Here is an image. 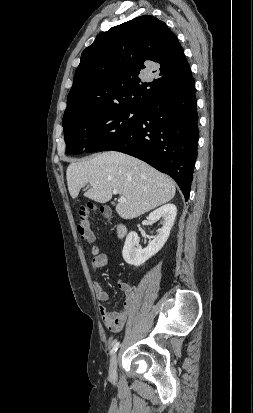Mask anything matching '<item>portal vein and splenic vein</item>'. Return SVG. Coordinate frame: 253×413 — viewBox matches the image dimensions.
Instances as JSON below:
<instances>
[{"instance_id":"portal-vein-and-splenic-vein-1","label":"portal vein and splenic vein","mask_w":253,"mask_h":413,"mask_svg":"<svg viewBox=\"0 0 253 413\" xmlns=\"http://www.w3.org/2000/svg\"><path fill=\"white\" fill-rule=\"evenodd\" d=\"M113 194H115V195L118 194V190H117V189H114V190H113ZM120 200H121V201H126L124 197H121Z\"/></svg>"}]
</instances>
